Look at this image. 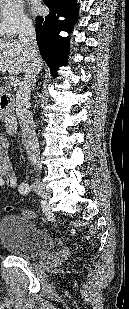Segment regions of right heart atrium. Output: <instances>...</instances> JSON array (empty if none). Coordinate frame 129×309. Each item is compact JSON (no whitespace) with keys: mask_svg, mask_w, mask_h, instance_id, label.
<instances>
[{"mask_svg":"<svg viewBox=\"0 0 129 309\" xmlns=\"http://www.w3.org/2000/svg\"><path fill=\"white\" fill-rule=\"evenodd\" d=\"M31 22L21 0H0V36L13 38L30 30Z\"/></svg>","mask_w":129,"mask_h":309,"instance_id":"obj_1","label":"right heart atrium"}]
</instances>
